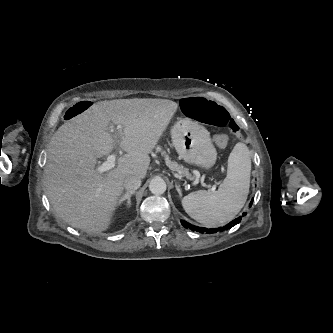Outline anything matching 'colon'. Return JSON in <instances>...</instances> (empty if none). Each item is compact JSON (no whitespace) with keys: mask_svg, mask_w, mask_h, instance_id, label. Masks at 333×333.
<instances>
[{"mask_svg":"<svg viewBox=\"0 0 333 333\" xmlns=\"http://www.w3.org/2000/svg\"><path fill=\"white\" fill-rule=\"evenodd\" d=\"M93 102L82 101L70 107L65 115V120H71L83 113L88 107H93ZM182 109L186 115L208 125L231 131L234 135L242 134L241 126L236 125L228 112L214 102L199 96L183 99Z\"/></svg>","mask_w":333,"mask_h":333,"instance_id":"colon-1","label":"colon"}]
</instances>
